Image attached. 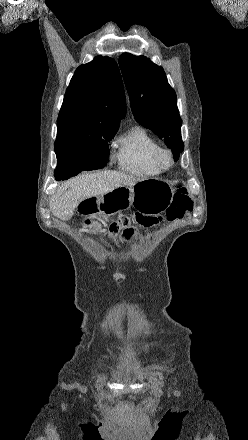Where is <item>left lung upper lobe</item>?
Wrapping results in <instances>:
<instances>
[{
  "label": "left lung upper lobe",
  "instance_id": "5c2ea615",
  "mask_svg": "<svg viewBox=\"0 0 248 440\" xmlns=\"http://www.w3.org/2000/svg\"><path fill=\"white\" fill-rule=\"evenodd\" d=\"M119 65L135 119L162 138L177 161L184 149L182 120L176 93L168 84L163 68L145 56L129 53L120 56Z\"/></svg>",
  "mask_w": 248,
  "mask_h": 440
}]
</instances>
